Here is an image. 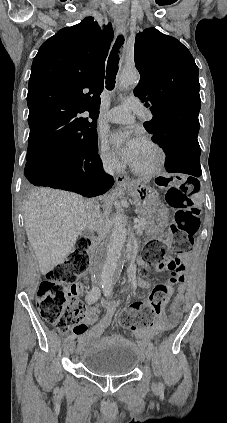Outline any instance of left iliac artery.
I'll return each instance as SVG.
<instances>
[{"label":"left iliac artery","mask_w":227,"mask_h":423,"mask_svg":"<svg viewBox=\"0 0 227 423\" xmlns=\"http://www.w3.org/2000/svg\"><path fill=\"white\" fill-rule=\"evenodd\" d=\"M102 288H103V293H104L105 296L111 297L113 295V292H112V289L113 288H112V283L111 282H105V283H103ZM148 346L151 349H154V346H153L152 343H149ZM159 390L160 391H164V385L162 383H159Z\"/></svg>","instance_id":"1"}]
</instances>
